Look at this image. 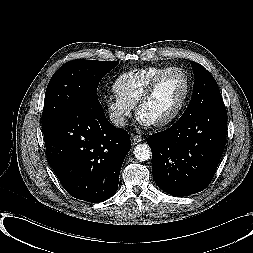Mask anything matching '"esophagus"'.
Listing matches in <instances>:
<instances>
[{
	"label": "esophagus",
	"mask_w": 253,
	"mask_h": 253,
	"mask_svg": "<svg viewBox=\"0 0 253 253\" xmlns=\"http://www.w3.org/2000/svg\"><path fill=\"white\" fill-rule=\"evenodd\" d=\"M143 141V138L137 134H131V142L133 144H138Z\"/></svg>",
	"instance_id": "obj_1"
}]
</instances>
